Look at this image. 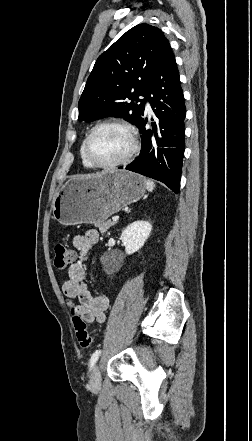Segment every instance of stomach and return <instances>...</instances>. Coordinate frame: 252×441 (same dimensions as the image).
I'll return each mask as SVG.
<instances>
[{"label":"stomach","instance_id":"0dacf381","mask_svg":"<svg viewBox=\"0 0 252 441\" xmlns=\"http://www.w3.org/2000/svg\"><path fill=\"white\" fill-rule=\"evenodd\" d=\"M145 179L124 170L69 179L52 202L53 218L63 225L104 222L145 193Z\"/></svg>","mask_w":252,"mask_h":441}]
</instances>
